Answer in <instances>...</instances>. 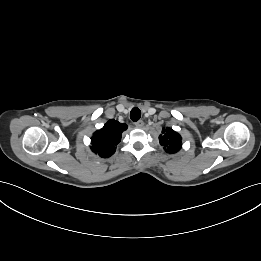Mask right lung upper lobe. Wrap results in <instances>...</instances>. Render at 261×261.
<instances>
[{
    "label": "right lung upper lobe",
    "mask_w": 261,
    "mask_h": 261,
    "mask_svg": "<svg viewBox=\"0 0 261 261\" xmlns=\"http://www.w3.org/2000/svg\"><path fill=\"white\" fill-rule=\"evenodd\" d=\"M126 129V124L114 119L109 120L101 130L93 134L91 150L100 157H110L114 154L116 145L121 141L122 132Z\"/></svg>",
    "instance_id": "obj_1"
}]
</instances>
